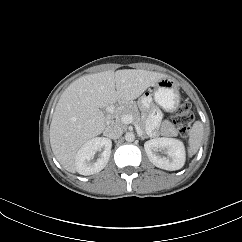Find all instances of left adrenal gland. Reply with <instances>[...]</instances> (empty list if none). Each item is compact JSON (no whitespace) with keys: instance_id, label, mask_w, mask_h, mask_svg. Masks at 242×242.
<instances>
[{"instance_id":"obj_1","label":"left adrenal gland","mask_w":242,"mask_h":242,"mask_svg":"<svg viewBox=\"0 0 242 242\" xmlns=\"http://www.w3.org/2000/svg\"><path fill=\"white\" fill-rule=\"evenodd\" d=\"M139 136H140L141 140L148 138L146 135H139Z\"/></svg>"}]
</instances>
